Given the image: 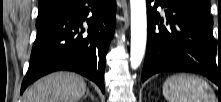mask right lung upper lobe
<instances>
[{
	"label": "right lung upper lobe",
	"mask_w": 221,
	"mask_h": 102,
	"mask_svg": "<svg viewBox=\"0 0 221 102\" xmlns=\"http://www.w3.org/2000/svg\"><path fill=\"white\" fill-rule=\"evenodd\" d=\"M72 0H40L39 9H46L52 7H64Z\"/></svg>",
	"instance_id": "right-lung-upper-lobe-1"
}]
</instances>
